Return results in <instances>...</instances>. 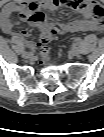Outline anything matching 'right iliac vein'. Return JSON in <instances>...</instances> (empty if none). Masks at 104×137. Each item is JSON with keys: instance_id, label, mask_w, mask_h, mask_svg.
<instances>
[{"instance_id": "obj_1", "label": "right iliac vein", "mask_w": 104, "mask_h": 137, "mask_svg": "<svg viewBox=\"0 0 104 137\" xmlns=\"http://www.w3.org/2000/svg\"><path fill=\"white\" fill-rule=\"evenodd\" d=\"M22 56L26 59H29V60H32L34 57V55L32 53H29V52H23Z\"/></svg>"}]
</instances>
